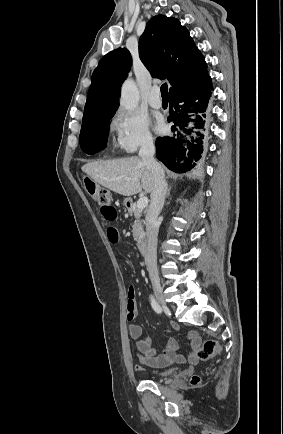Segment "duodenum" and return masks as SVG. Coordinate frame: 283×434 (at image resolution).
I'll return each mask as SVG.
<instances>
[{
  "label": "duodenum",
  "instance_id": "obj_1",
  "mask_svg": "<svg viewBox=\"0 0 283 434\" xmlns=\"http://www.w3.org/2000/svg\"><path fill=\"white\" fill-rule=\"evenodd\" d=\"M127 207L128 208H130V209H132L133 208V202H132V200H127ZM138 246H139V249H140V252L143 254V255H146L147 253H148V249H149V240H148V237L146 236V235H143L141 238H140V240H139V244H138Z\"/></svg>",
  "mask_w": 283,
  "mask_h": 434
}]
</instances>
